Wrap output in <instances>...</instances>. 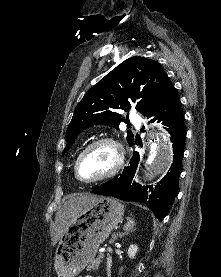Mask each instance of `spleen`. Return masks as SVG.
I'll use <instances>...</instances> for the list:
<instances>
[{"label": "spleen", "instance_id": "spleen-1", "mask_svg": "<svg viewBox=\"0 0 221 277\" xmlns=\"http://www.w3.org/2000/svg\"><path fill=\"white\" fill-rule=\"evenodd\" d=\"M133 225H134L133 219L129 218V221L125 226L126 230L130 229Z\"/></svg>", "mask_w": 221, "mask_h": 277}]
</instances>
